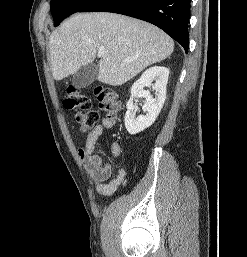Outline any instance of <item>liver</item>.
<instances>
[{"label":"liver","instance_id":"1","mask_svg":"<svg viewBox=\"0 0 247 257\" xmlns=\"http://www.w3.org/2000/svg\"><path fill=\"white\" fill-rule=\"evenodd\" d=\"M52 75L60 81L92 63L99 49L98 80L120 86L143 69L169 57L173 40L158 27L125 15L76 14L49 38Z\"/></svg>","mask_w":247,"mask_h":257}]
</instances>
